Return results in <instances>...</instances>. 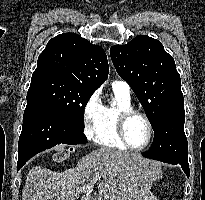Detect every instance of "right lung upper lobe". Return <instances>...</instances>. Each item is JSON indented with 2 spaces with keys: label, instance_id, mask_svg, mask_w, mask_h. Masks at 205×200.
Returning <instances> with one entry per match:
<instances>
[{
  "label": "right lung upper lobe",
  "instance_id": "right-lung-upper-lobe-1",
  "mask_svg": "<svg viewBox=\"0 0 205 200\" xmlns=\"http://www.w3.org/2000/svg\"><path fill=\"white\" fill-rule=\"evenodd\" d=\"M109 72L105 51L85 38L64 33L52 38L39 55L31 79L56 77L96 90Z\"/></svg>",
  "mask_w": 205,
  "mask_h": 200
}]
</instances>
